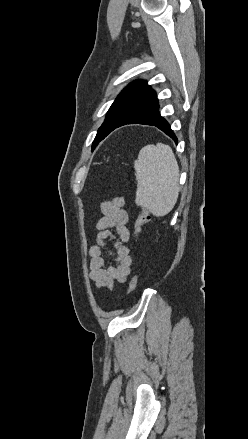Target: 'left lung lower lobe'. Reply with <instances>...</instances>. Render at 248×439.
I'll use <instances>...</instances> for the list:
<instances>
[{
  "label": "left lung lower lobe",
  "instance_id": "1",
  "mask_svg": "<svg viewBox=\"0 0 248 439\" xmlns=\"http://www.w3.org/2000/svg\"><path fill=\"white\" fill-rule=\"evenodd\" d=\"M127 124L156 126L177 143V138L171 130L169 123L159 113V104L154 90H151L110 132Z\"/></svg>",
  "mask_w": 248,
  "mask_h": 439
}]
</instances>
